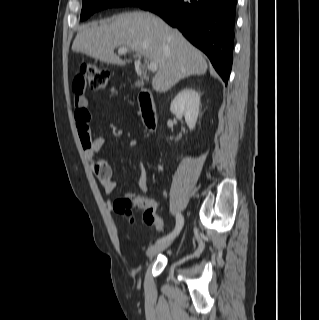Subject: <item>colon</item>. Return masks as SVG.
<instances>
[{
    "label": "colon",
    "instance_id": "5ec220e1",
    "mask_svg": "<svg viewBox=\"0 0 319 320\" xmlns=\"http://www.w3.org/2000/svg\"><path fill=\"white\" fill-rule=\"evenodd\" d=\"M87 84L95 90H104L110 88L112 85V75L110 70L101 68L91 62H83L80 65L79 74L74 80V86L80 89ZM82 128L86 134H89V121H84ZM107 169H109V166ZM140 204L141 199L139 198H119L114 201L113 209L116 213L127 216L129 221H133L132 209L134 207L138 208ZM143 219L145 223L154 225L158 230L164 229L163 221L157 217L155 213L150 212L149 210L144 212Z\"/></svg>",
    "mask_w": 319,
    "mask_h": 320
}]
</instances>
